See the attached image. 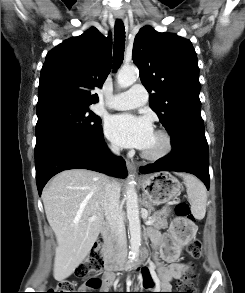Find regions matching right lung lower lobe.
Listing matches in <instances>:
<instances>
[{
	"instance_id": "obj_1",
	"label": "right lung lower lobe",
	"mask_w": 245,
	"mask_h": 293,
	"mask_svg": "<svg viewBox=\"0 0 245 293\" xmlns=\"http://www.w3.org/2000/svg\"><path fill=\"white\" fill-rule=\"evenodd\" d=\"M36 182L39 195L48 180L63 170L89 169L125 178V161L108 150L102 130L91 137L56 141L35 156Z\"/></svg>"
}]
</instances>
